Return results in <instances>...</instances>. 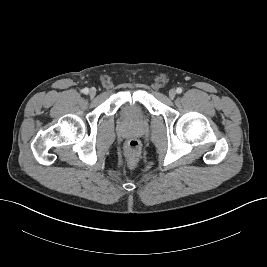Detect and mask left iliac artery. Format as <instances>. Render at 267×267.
<instances>
[{"label": "left iliac artery", "instance_id": "left-iliac-artery-1", "mask_svg": "<svg viewBox=\"0 0 267 267\" xmlns=\"http://www.w3.org/2000/svg\"><path fill=\"white\" fill-rule=\"evenodd\" d=\"M176 92H177L178 94L182 93V88L178 87V88L176 89Z\"/></svg>", "mask_w": 267, "mask_h": 267}]
</instances>
